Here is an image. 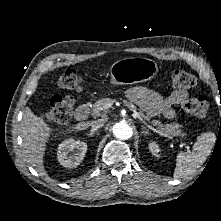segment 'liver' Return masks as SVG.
Instances as JSON below:
<instances>
[{
  "label": "liver",
  "mask_w": 221,
  "mask_h": 221,
  "mask_svg": "<svg viewBox=\"0 0 221 221\" xmlns=\"http://www.w3.org/2000/svg\"><path fill=\"white\" fill-rule=\"evenodd\" d=\"M104 122L107 118L102 119ZM92 122H81L76 124L71 130L79 131L84 130L91 126ZM53 129L40 117H37L28 107L23 112L21 121V135L23 138V147L27 161L36 168L41 175H46L43 166V157L46 142Z\"/></svg>",
  "instance_id": "obj_1"
}]
</instances>
